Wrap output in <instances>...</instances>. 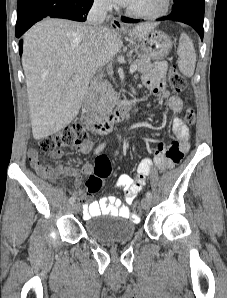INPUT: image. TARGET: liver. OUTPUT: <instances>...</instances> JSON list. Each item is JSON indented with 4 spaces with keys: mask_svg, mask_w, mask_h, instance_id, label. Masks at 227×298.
Wrapping results in <instances>:
<instances>
[{
    "mask_svg": "<svg viewBox=\"0 0 227 298\" xmlns=\"http://www.w3.org/2000/svg\"><path fill=\"white\" fill-rule=\"evenodd\" d=\"M155 23L135 26L129 35L142 39ZM83 25L45 19L25 35L22 65L28 85L32 132L36 140L69 125L78 115L91 78L111 62L123 43L117 32L102 27L91 39ZM79 75L80 79H75Z\"/></svg>",
    "mask_w": 227,
    "mask_h": 298,
    "instance_id": "6515ba94",
    "label": "liver"
}]
</instances>
